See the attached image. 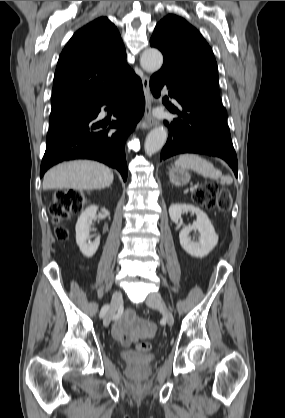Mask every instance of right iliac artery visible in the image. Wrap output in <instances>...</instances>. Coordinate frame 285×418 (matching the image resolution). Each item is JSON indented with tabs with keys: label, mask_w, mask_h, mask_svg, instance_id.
I'll return each instance as SVG.
<instances>
[{
	"label": "right iliac artery",
	"mask_w": 285,
	"mask_h": 418,
	"mask_svg": "<svg viewBox=\"0 0 285 418\" xmlns=\"http://www.w3.org/2000/svg\"><path fill=\"white\" fill-rule=\"evenodd\" d=\"M109 306L108 305H104L100 311V317L103 318L104 315L106 314L107 310H108ZM117 316H119V314H117Z\"/></svg>",
	"instance_id": "right-iliac-artery-1"
}]
</instances>
